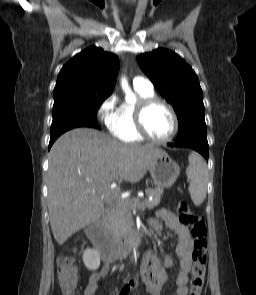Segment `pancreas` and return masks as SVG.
Wrapping results in <instances>:
<instances>
[{
	"label": "pancreas",
	"instance_id": "cf45deb5",
	"mask_svg": "<svg viewBox=\"0 0 256 295\" xmlns=\"http://www.w3.org/2000/svg\"><path fill=\"white\" fill-rule=\"evenodd\" d=\"M145 193L152 196L153 200L141 201L139 198H133L119 200L115 203L107 221V230L113 240L120 241L125 236V234L130 231L133 209H153L159 204L163 194V188H148L146 189Z\"/></svg>",
	"mask_w": 256,
	"mask_h": 295
}]
</instances>
